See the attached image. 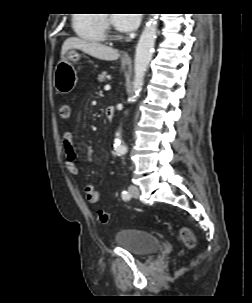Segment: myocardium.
Returning <instances> with one entry per match:
<instances>
[{"label": "myocardium", "instance_id": "1", "mask_svg": "<svg viewBox=\"0 0 252 303\" xmlns=\"http://www.w3.org/2000/svg\"><path fill=\"white\" fill-rule=\"evenodd\" d=\"M104 21H105V26L107 28L108 34L113 35L114 34V30L112 29V26H111V23L109 21V18L107 16V14H104Z\"/></svg>", "mask_w": 252, "mask_h": 303}]
</instances>
